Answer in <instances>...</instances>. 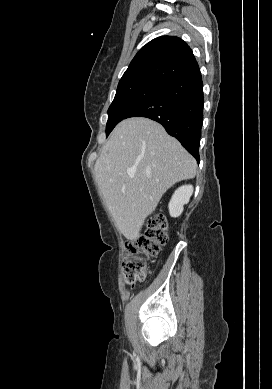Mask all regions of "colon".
<instances>
[{
	"mask_svg": "<svg viewBox=\"0 0 272 389\" xmlns=\"http://www.w3.org/2000/svg\"><path fill=\"white\" fill-rule=\"evenodd\" d=\"M167 239L166 219L160 214L151 216L145 231L127 244L128 255L123 268L127 284L145 281L148 275L147 258L157 255Z\"/></svg>",
	"mask_w": 272,
	"mask_h": 389,
	"instance_id": "colon-1",
	"label": "colon"
}]
</instances>
